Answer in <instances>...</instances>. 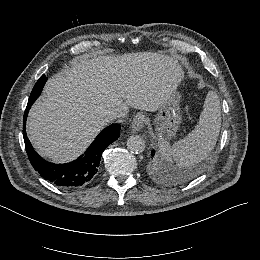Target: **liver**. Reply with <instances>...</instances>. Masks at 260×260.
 Instances as JSON below:
<instances>
[{
	"label": "liver",
	"instance_id": "obj_1",
	"mask_svg": "<svg viewBox=\"0 0 260 260\" xmlns=\"http://www.w3.org/2000/svg\"><path fill=\"white\" fill-rule=\"evenodd\" d=\"M183 71L169 56L134 53L74 60L50 78L29 113L27 133L37 151L57 162L77 157L104 125L113 104L157 112L182 85ZM117 106V107H118Z\"/></svg>",
	"mask_w": 260,
	"mask_h": 260
}]
</instances>
